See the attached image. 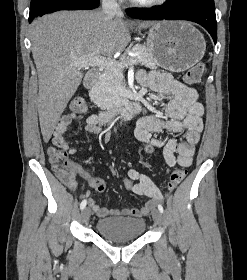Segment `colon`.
Returning a JSON list of instances; mask_svg holds the SVG:
<instances>
[{
  "label": "colon",
  "mask_w": 247,
  "mask_h": 280,
  "mask_svg": "<svg viewBox=\"0 0 247 280\" xmlns=\"http://www.w3.org/2000/svg\"><path fill=\"white\" fill-rule=\"evenodd\" d=\"M205 65L202 62H199L192 66L185 74V81L188 84H198L203 76ZM70 109L73 113L77 115H82L87 110L86 102L83 98L78 97L72 100L70 103ZM137 146H144L143 154L144 155H154L155 149L151 143H146L144 141H137ZM49 160L51 166L60 179H70L73 175V163L68 160L66 152L58 147L49 146L47 149ZM187 171L185 168H177L174 170L170 176L168 183V190H175L179 184L186 177ZM120 183L124 188L129 189L132 187L133 182L129 176H122L120 178Z\"/></svg>",
  "instance_id": "obj_1"
}]
</instances>
